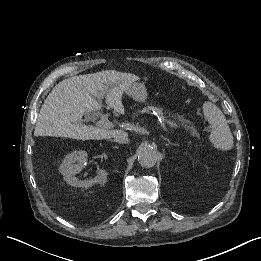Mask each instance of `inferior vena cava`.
Returning <instances> with one entry per match:
<instances>
[{
    "label": "inferior vena cava",
    "instance_id": "1",
    "mask_svg": "<svg viewBox=\"0 0 261 261\" xmlns=\"http://www.w3.org/2000/svg\"><path fill=\"white\" fill-rule=\"evenodd\" d=\"M114 141L122 144H126L129 142L128 133L125 131H119L118 135L114 137Z\"/></svg>",
    "mask_w": 261,
    "mask_h": 261
}]
</instances>
